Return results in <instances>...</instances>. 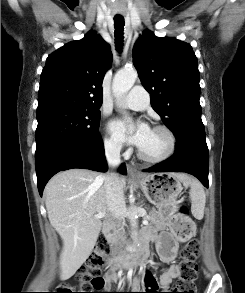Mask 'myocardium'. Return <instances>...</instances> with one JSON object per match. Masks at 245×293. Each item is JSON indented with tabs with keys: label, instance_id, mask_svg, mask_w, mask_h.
<instances>
[{
	"label": "myocardium",
	"instance_id": "1",
	"mask_svg": "<svg viewBox=\"0 0 245 293\" xmlns=\"http://www.w3.org/2000/svg\"><path fill=\"white\" fill-rule=\"evenodd\" d=\"M153 130L161 131L166 134L168 138V148L167 150L160 156L150 157L145 155L140 149H138V157L145 162L148 163H159L169 159L175 152L177 146L176 136L173 131L164 125H156L153 127Z\"/></svg>",
	"mask_w": 245,
	"mask_h": 293
}]
</instances>
